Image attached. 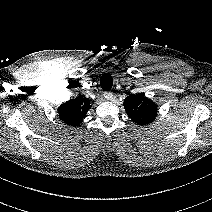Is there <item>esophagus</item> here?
Instances as JSON below:
<instances>
[{
    "mask_svg": "<svg viewBox=\"0 0 212 212\" xmlns=\"http://www.w3.org/2000/svg\"><path fill=\"white\" fill-rule=\"evenodd\" d=\"M103 96L108 101H112L114 99V95L112 92H104Z\"/></svg>",
    "mask_w": 212,
    "mask_h": 212,
    "instance_id": "obj_1",
    "label": "esophagus"
}]
</instances>
